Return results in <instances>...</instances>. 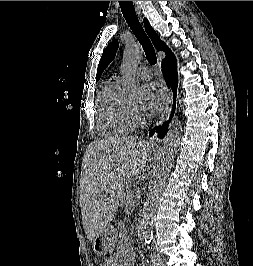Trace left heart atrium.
I'll return each mask as SVG.
<instances>
[{"mask_svg":"<svg viewBox=\"0 0 253 266\" xmlns=\"http://www.w3.org/2000/svg\"><path fill=\"white\" fill-rule=\"evenodd\" d=\"M167 95L161 85L147 83L143 86V109L150 115L159 113L165 106Z\"/></svg>","mask_w":253,"mask_h":266,"instance_id":"left-heart-atrium-1","label":"left heart atrium"}]
</instances>
